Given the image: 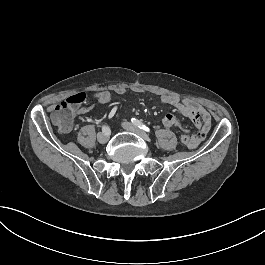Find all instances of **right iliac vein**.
I'll use <instances>...</instances> for the list:
<instances>
[{"label":"right iliac vein","mask_w":265,"mask_h":265,"mask_svg":"<svg viewBox=\"0 0 265 265\" xmlns=\"http://www.w3.org/2000/svg\"><path fill=\"white\" fill-rule=\"evenodd\" d=\"M110 133H99L97 139L99 143L104 144L109 140Z\"/></svg>","instance_id":"right-iliac-vein-1"}]
</instances>
